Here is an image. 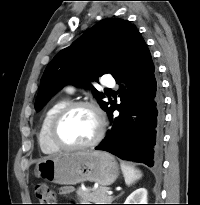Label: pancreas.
Instances as JSON below:
<instances>
[{
    "label": "pancreas",
    "mask_w": 200,
    "mask_h": 205,
    "mask_svg": "<svg viewBox=\"0 0 200 205\" xmlns=\"http://www.w3.org/2000/svg\"><path fill=\"white\" fill-rule=\"evenodd\" d=\"M108 191L109 188L105 186H99L98 188L93 189L92 191H85L79 188L77 190V195L79 199L82 201H89L95 204H109L113 201V197L107 194Z\"/></svg>",
    "instance_id": "1"
}]
</instances>
